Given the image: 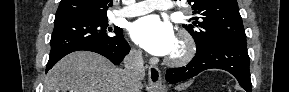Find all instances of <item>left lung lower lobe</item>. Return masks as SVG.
I'll use <instances>...</instances> for the list:
<instances>
[{"mask_svg": "<svg viewBox=\"0 0 289 92\" xmlns=\"http://www.w3.org/2000/svg\"><path fill=\"white\" fill-rule=\"evenodd\" d=\"M211 68L230 72L236 77L242 88L251 92L252 84L246 40L225 39L212 44L202 52L197 51L187 66L168 69L166 80L170 84H174Z\"/></svg>", "mask_w": 289, "mask_h": 92, "instance_id": "obj_1", "label": "left lung lower lobe"}]
</instances>
